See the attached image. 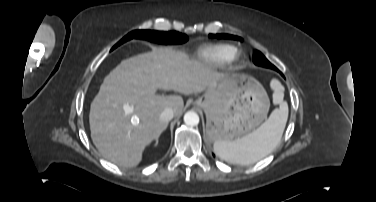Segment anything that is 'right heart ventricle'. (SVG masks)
Returning a JSON list of instances; mask_svg holds the SVG:
<instances>
[{"label":"right heart ventricle","mask_w":376,"mask_h":202,"mask_svg":"<svg viewBox=\"0 0 376 202\" xmlns=\"http://www.w3.org/2000/svg\"><path fill=\"white\" fill-rule=\"evenodd\" d=\"M237 54L236 47L229 44H217L204 47L198 52V57L212 65L223 66Z\"/></svg>","instance_id":"obj_1"}]
</instances>
